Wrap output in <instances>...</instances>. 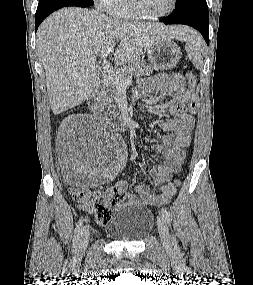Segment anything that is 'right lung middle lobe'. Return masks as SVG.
<instances>
[{"instance_id":"right-lung-middle-lobe-1","label":"right lung middle lobe","mask_w":253,"mask_h":285,"mask_svg":"<svg viewBox=\"0 0 253 285\" xmlns=\"http://www.w3.org/2000/svg\"><path fill=\"white\" fill-rule=\"evenodd\" d=\"M45 1V0H40ZM59 1H65V2H76V3H82V4H87V5H93L94 2L92 0H59Z\"/></svg>"}]
</instances>
